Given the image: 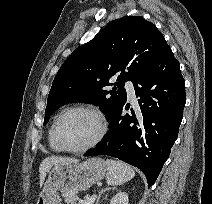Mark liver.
Returning a JSON list of instances; mask_svg holds the SVG:
<instances>
[{
	"mask_svg": "<svg viewBox=\"0 0 212 204\" xmlns=\"http://www.w3.org/2000/svg\"><path fill=\"white\" fill-rule=\"evenodd\" d=\"M74 161L70 158H63V157H55L50 156L46 157L39 166V176H40V187L43 185L46 174L49 172V170L56 164H62Z\"/></svg>",
	"mask_w": 212,
	"mask_h": 204,
	"instance_id": "1",
	"label": "liver"
}]
</instances>
